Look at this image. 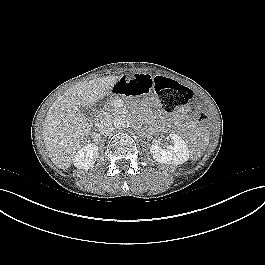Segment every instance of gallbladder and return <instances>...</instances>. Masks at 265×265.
<instances>
[{
  "label": "gallbladder",
  "mask_w": 265,
  "mask_h": 265,
  "mask_svg": "<svg viewBox=\"0 0 265 265\" xmlns=\"http://www.w3.org/2000/svg\"><path fill=\"white\" fill-rule=\"evenodd\" d=\"M80 112L84 114L88 119L94 118V111L89 108H80Z\"/></svg>",
  "instance_id": "gallbladder-1"
}]
</instances>
